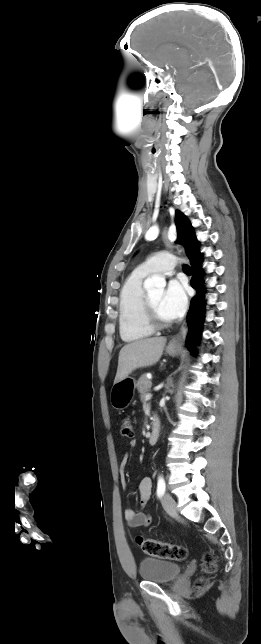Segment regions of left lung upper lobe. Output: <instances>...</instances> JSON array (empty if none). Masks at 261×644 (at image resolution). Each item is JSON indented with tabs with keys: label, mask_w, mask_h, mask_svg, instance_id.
<instances>
[{
	"label": "left lung upper lobe",
	"mask_w": 261,
	"mask_h": 644,
	"mask_svg": "<svg viewBox=\"0 0 261 644\" xmlns=\"http://www.w3.org/2000/svg\"><path fill=\"white\" fill-rule=\"evenodd\" d=\"M175 224L178 233V240L176 243L185 247L186 254L190 261L193 259H202L199 242L195 237L194 229L188 218L181 212L176 211Z\"/></svg>",
	"instance_id": "left-lung-upper-lobe-1"
}]
</instances>
